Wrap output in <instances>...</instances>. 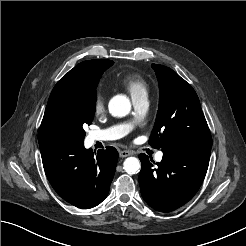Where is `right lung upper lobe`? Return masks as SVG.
<instances>
[{
    "label": "right lung upper lobe",
    "instance_id": "1",
    "mask_svg": "<svg viewBox=\"0 0 246 246\" xmlns=\"http://www.w3.org/2000/svg\"><path fill=\"white\" fill-rule=\"evenodd\" d=\"M106 61L108 60L98 59V60H88V61L81 62L57 82L49 97L47 107L44 113V117L39 129V133H38L39 143L52 137L51 126L54 120L56 105L59 99L62 96L79 89L87 81L91 69L95 65Z\"/></svg>",
    "mask_w": 246,
    "mask_h": 246
}]
</instances>
